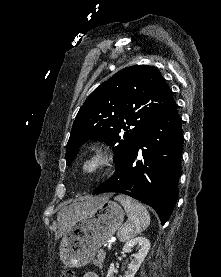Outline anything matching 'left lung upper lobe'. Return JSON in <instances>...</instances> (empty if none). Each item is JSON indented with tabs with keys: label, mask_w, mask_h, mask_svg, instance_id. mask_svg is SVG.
Segmentation results:
<instances>
[{
	"label": "left lung upper lobe",
	"mask_w": 221,
	"mask_h": 277,
	"mask_svg": "<svg viewBox=\"0 0 221 277\" xmlns=\"http://www.w3.org/2000/svg\"><path fill=\"white\" fill-rule=\"evenodd\" d=\"M173 102L172 91L156 67L135 65L120 70L97 87L78 111L66 163L81 145L99 140L113 147L117 169L147 126Z\"/></svg>",
	"instance_id": "5c2ea615"
}]
</instances>
